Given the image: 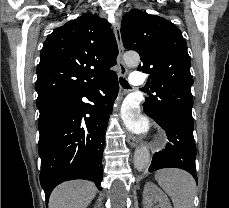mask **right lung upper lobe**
Returning a JSON list of instances; mask_svg holds the SVG:
<instances>
[{
    "label": "right lung upper lobe",
    "mask_w": 229,
    "mask_h": 208,
    "mask_svg": "<svg viewBox=\"0 0 229 208\" xmlns=\"http://www.w3.org/2000/svg\"><path fill=\"white\" fill-rule=\"evenodd\" d=\"M111 25L85 14L54 30L40 53L37 103L70 99L97 88L116 73L117 43Z\"/></svg>",
    "instance_id": "cb5924a9"
}]
</instances>
